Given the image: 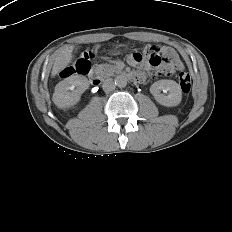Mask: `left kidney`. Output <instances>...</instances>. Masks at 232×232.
Listing matches in <instances>:
<instances>
[{
    "label": "left kidney",
    "instance_id": "5707ae66",
    "mask_svg": "<svg viewBox=\"0 0 232 232\" xmlns=\"http://www.w3.org/2000/svg\"><path fill=\"white\" fill-rule=\"evenodd\" d=\"M161 91L168 92V94L165 95ZM150 92L160 105L166 107L177 106L182 100L181 87L173 80L163 79L154 82L150 87Z\"/></svg>",
    "mask_w": 232,
    "mask_h": 232
}]
</instances>
